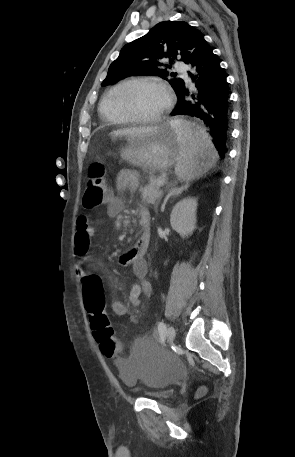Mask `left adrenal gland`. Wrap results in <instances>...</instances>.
<instances>
[{
    "instance_id": "obj_1",
    "label": "left adrenal gland",
    "mask_w": 295,
    "mask_h": 457,
    "mask_svg": "<svg viewBox=\"0 0 295 457\" xmlns=\"http://www.w3.org/2000/svg\"><path fill=\"white\" fill-rule=\"evenodd\" d=\"M188 188V184L182 186L181 188L179 189H175V190H172L168 193V195L165 197L164 199V202L161 206V210L163 211L164 208H165V205L166 203L168 202V200L171 198V197H174V196H178L179 194H181L184 190H187ZM157 207H158V204L155 206V211L157 212Z\"/></svg>"
}]
</instances>
